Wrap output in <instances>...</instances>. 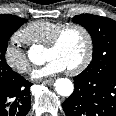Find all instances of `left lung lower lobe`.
Listing matches in <instances>:
<instances>
[{"mask_svg": "<svg viewBox=\"0 0 116 116\" xmlns=\"http://www.w3.org/2000/svg\"><path fill=\"white\" fill-rule=\"evenodd\" d=\"M73 79L75 89L62 104L66 116H116V72Z\"/></svg>", "mask_w": 116, "mask_h": 116, "instance_id": "0a47b994", "label": "left lung lower lobe"}]
</instances>
